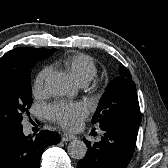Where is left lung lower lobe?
Returning <instances> with one entry per match:
<instances>
[{
	"instance_id": "1",
	"label": "left lung lower lobe",
	"mask_w": 168,
	"mask_h": 168,
	"mask_svg": "<svg viewBox=\"0 0 168 168\" xmlns=\"http://www.w3.org/2000/svg\"><path fill=\"white\" fill-rule=\"evenodd\" d=\"M99 142L83 139L88 151L78 162V168H126L136 145L138 128L123 121H110L100 126Z\"/></svg>"
}]
</instances>
